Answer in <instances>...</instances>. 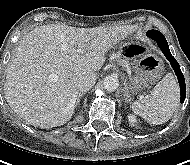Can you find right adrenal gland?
Segmentation results:
<instances>
[{"label":"right adrenal gland","instance_id":"2a0ac1e0","mask_svg":"<svg viewBox=\"0 0 190 165\" xmlns=\"http://www.w3.org/2000/svg\"><path fill=\"white\" fill-rule=\"evenodd\" d=\"M84 94H85V93H79V94L77 95V100H76V105H75V107H77V106L79 105L80 99H81V97H82Z\"/></svg>","mask_w":190,"mask_h":165}]
</instances>
